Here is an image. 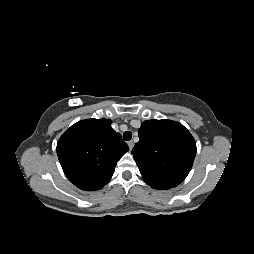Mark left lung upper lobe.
I'll return each instance as SVG.
<instances>
[{"mask_svg": "<svg viewBox=\"0 0 254 254\" xmlns=\"http://www.w3.org/2000/svg\"><path fill=\"white\" fill-rule=\"evenodd\" d=\"M132 154L150 186L176 187L188 175L196 155L190 132L171 120H147L138 130Z\"/></svg>", "mask_w": 254, "mask_h": 254, "instance_id": "1", "label": "left lung upper lobe"}]
</instances>
